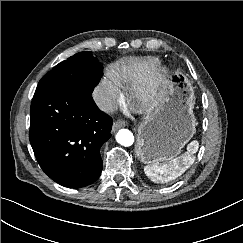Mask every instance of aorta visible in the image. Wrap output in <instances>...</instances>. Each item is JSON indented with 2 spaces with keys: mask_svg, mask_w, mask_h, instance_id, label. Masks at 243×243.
Here are the masks:
<instances>
[{
  "mask_svg": "<svg viewBox=\"0 0 243 243\" xmlns=\"http://www.w3.org/2000/svg\"><path fill=\"white\" fill-rule=\"evenodd\" d=\"M116 141L125 147H129L134 143V135L128 129H121L116 134Z\"/></svg>",
  "mask_w": 243,
  "mask_h": 243,
  "instance_id": "762f6f07",
  "label": "aorta"
}]
</instances>
